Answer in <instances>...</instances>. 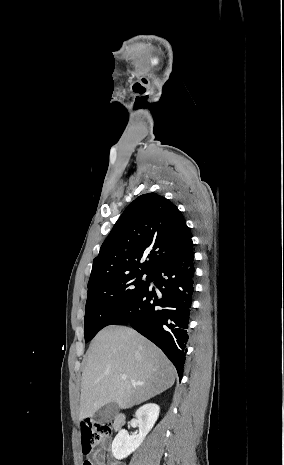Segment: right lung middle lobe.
I'll return each instance as SVG.
<instances>
[{"label": "right lung middle lobe", "mask_w": 284, "mask_h": 465, "mask_svg": "<svg viewBox=\"0 0 284 465\" xmlns=\"http://www.w3.org/2000/svg\"><path fill=\"white\" fill-rule=\"evenodd\" d=\"M144 273H133L102 282L88 289L85 310V341L89 342L102 328L123 311L146 287Z\"/></svg>", "instance_id": "obj_1"}]
</instances>
